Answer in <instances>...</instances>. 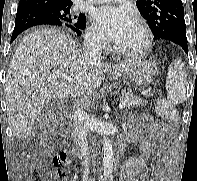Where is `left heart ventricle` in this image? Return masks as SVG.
Instances as JSON below:
<instances>
[{"instance_id": "b2bd125f", "label": "left heart ventricle", "mask_w": 197, "mask_h": 181, "mask_svg": "<svg viewBox=\"0 0 197 181\" xmlns=\"http://www.w3.org/2000/svg\"><path fill=\"white\" fill-rule=\"evenodd\" d=\"M144 42V33L135 23L125 32V34L116 42L117 45L125 48L136 49Z\"/></svg>"}]
</instances>
